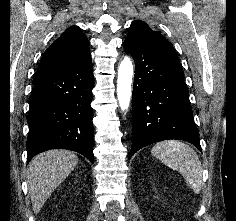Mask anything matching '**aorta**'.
<instances>
[{"label":"aorta","mask_w":236,"mask_h":221,"mask_svg":"<svg viewBox=\"0 0 236 221\" xmlns=\"http://www.w3.org/2000/svg\"><path fill=\"white\" fill-rule=\"evenodd\" d=\"M133 76V64L130 58L124 57L118 68L117 96L119 106L124 112L128 109L132 94L131 84Z\"/></svg>","instance_id":"aorta-1"}]
</instances>
